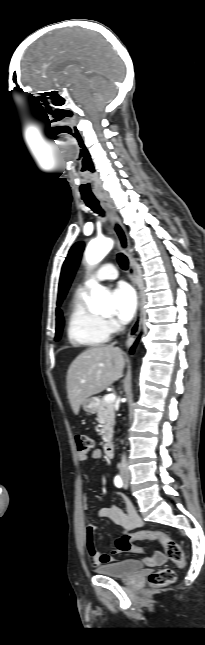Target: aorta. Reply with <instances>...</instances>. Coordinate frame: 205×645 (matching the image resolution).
Here are the masks:
<instances>
[{"mask_svg":"<svg viewBox=\"0 0 205 645\" xmlns=\"http://www.w3.org/2000/svg\"><path fill=\"white\" fill-rule=\"evenodd\" d=\"M113 241L109 238L96 239L91 241L85 251L86 261L89 265L99 263L112 249ZM93 298L92 307L97 312H105L114 309V302L109 292L101 285L94 283L91 290Z\"/></svg>","mask_w":205,"mask_h":645,"instance_id":"aorta-1","label":"aorta"}]
</instances>
